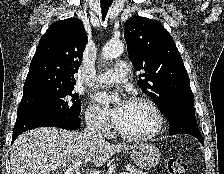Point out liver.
<instances>
[{
    "label": "liver",
    "instance_id": "6515ba94",
    "mask_svg": "<svg viewBox=\"0 0 224 174\" xmlns=\"http://www.w3.org/2000/svg\"><path fill=\"white\" fill-rule=\"evenodd\" d=\"M12 148V174H50L66 163H72L75 169L76 159L99 167L116 153L133 147L106 141L96 143L84 133L42 127L19 135Z\"/></svg>",
    "mask_w": 224,
    "mask_h": 174
}]
</instances>
